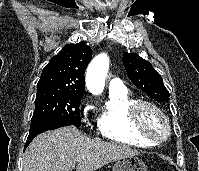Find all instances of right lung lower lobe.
<instances>
[{"mask_svg": "<svg viewBox=\"0 0 199 171\" xmlns=\"http://www.w3.org/2000/svg\"><path fill=\"white\" fill-rule=\"evenodd\" d=\"M68 125H73V124L70 121L56 117H48V118L35 120L34 122L31 123L29 136L25 143L24 150L38 134Z\"/></svg>", "mask_w": 199, "mask_h": 171, "instance_id": "obj_1", "label": "right lung lower lobe"}]
</instances>
